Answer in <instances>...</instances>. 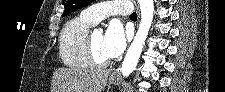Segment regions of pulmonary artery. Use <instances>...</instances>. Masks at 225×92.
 Segmentation results:
<instances>
[{"label":"pulmonary artery","mask_w":225,"mask_h":92,"mask_svg":"<svg viewBox=\"0 0 225 92\" xmlns=\"http://www.w3.org/2000/svg\"><path fill=\"white\" fill-rule=\"evenodd\" d=\"M130 8L129 1L101 2L83 10L81 16L92 24H97L111 14H128Z\"/></svg>","instance_id":"pulmonary-artery-1"}]
</instances>
